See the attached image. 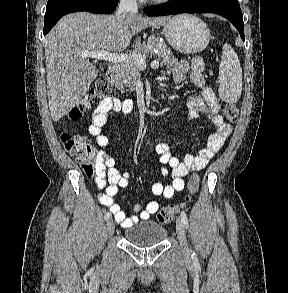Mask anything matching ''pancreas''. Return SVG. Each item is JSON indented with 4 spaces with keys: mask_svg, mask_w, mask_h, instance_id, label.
Returning <instances> with one entry per match:
<instances>
[{
    "mask_svg": "<svg viewBox=\"0 0 288 293\" xmlns=\"http://www.w3.org/2000/svg\"><path fill=\"white\" fill-rule=\"evenodd\" d=\"M158 49V60L161 65L172 67L178 62L174 57L172 51L167 47L164 41H159L156 38H150L147 42L137 40L133 45V52L142 56H147L149 53H153V50ZM140 77V68L132 61L119 62L117 66V73L114 78L115 87L121 91V93L127 92V88L134 91L136 81Z\"/></svg>",
    "mask_w": 288,
    "mask_h": 293,
    "instance_id": "1",
    "label": "pancreas"
}]
</instances>
